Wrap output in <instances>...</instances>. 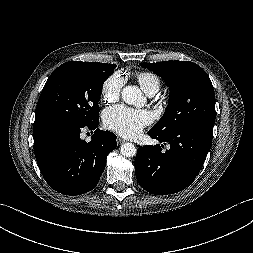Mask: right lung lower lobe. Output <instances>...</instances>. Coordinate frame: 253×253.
I'll return each instance as SVG.
<instances>
[{"label":"right lung lower lobe","mask_w":253,"mask_h":253,"mask_svg":"<svg viewBox=\"0 0 253 253\" xmlns=\"http://www.w3.org/2000/svg\"><path fill=\"white\" fill-rule=\"evenodd\" d=\"M98 120L86 126L59 120L34 125V152L39 169L57 192L79 195L97 185L107 155L117 146L116 135L99 130ZM84 127L94 130L88 143L80 138Z\"/></svg>","instance_id":"1"}]
</instances>
